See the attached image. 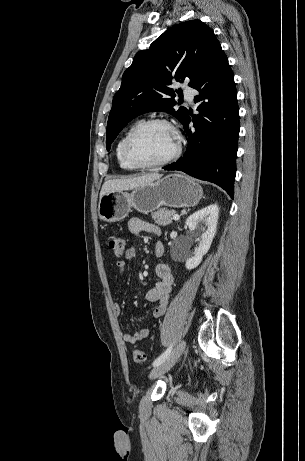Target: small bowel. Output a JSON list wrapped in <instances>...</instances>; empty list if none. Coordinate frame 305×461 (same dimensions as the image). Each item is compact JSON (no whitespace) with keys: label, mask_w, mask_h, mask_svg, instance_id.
<instances>
[{"label":"small bowel","mask_w":305,"mask_h":461,"mask_svg":"<svg viewBox=\"0 0 305 461\" xmlns=\"http://www.w3.org/2000/svg\"><path fill=\"white\" fill-rule=\"evenodd\" d=\"M129 230L134 234L149 233L154 236H160L162 234L161 228L154 223L148 221L133 218L129 222ZM165 248L161 242H157L154 245V254L156 257H162L164 255ZM137 256V250L135 247H129L125 251V259L131 260ZM116 268L120 275H123L126 271V261L119 259L116 262ZM155 273L157 276V282L155 286L148 291L146 298L149 302L155 304L153 311V318H159L162 316L168 307L169 300L172 295L174 277L171 273L170 267L165 263H159L155 267ZM113 310L115 314L120 315L122 308L119 303L113 304ZM150 335V329L147 327L141 328L137 332H124L123 339L128 344H136L139 341L145 339Z\"/></svg>","instance_id":"obj_1"}]
</instances>
